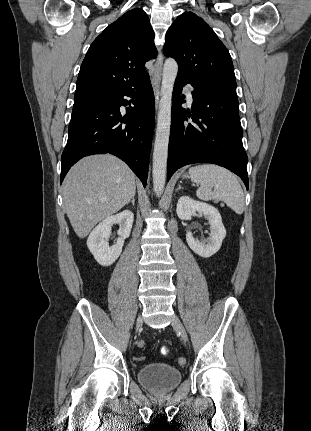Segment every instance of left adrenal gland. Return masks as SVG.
Returning <instances> with one entry per match:
<instances>
[{
  "mask_svg": "<svg viewBox=\"0 0 311 431\" xmlns=\"http://www.w3.org/2000/svg\"><path fill=\"white\" fill-rule=\"evenodd\" d=\"M178 190H184V188H182V186H178L177 190H175V192H178Z\"/></svg>",
  "mask_w": 311,
  "mask_h": 431,
  "instance_id": "a2214340",
  "label": "left adrenal gland"
}]
</instances>
